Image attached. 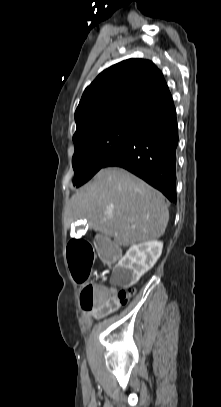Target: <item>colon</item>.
<instances>
[{"mask_svg": "<svg viewBox=\"0 0 221 407\" xmlns=\"http://www.w3.org/2000/svg\"><path fill=\"white\" fill-rule=\"evenodd\" d=\"M97 255H101L106 266L112 268L119 261L122 247L116 240H109L108 234H97ZM95 258L92 244L84 239H74L68 245V261L74 279L83 285L81 290V305L86 311H94L107 315L126 304L134 291H113L105 286L89 282L91 268Z\"/></svg>", "mask_w": 221, "mask_h": 407, "instance_id": "colon-1", "label": "colon"}]
</instances>
